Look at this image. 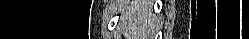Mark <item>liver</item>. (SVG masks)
<instances>
[{"instance_id": "liver-1", "label": "liver", "mask_w": 249, "mask_h": 39, "mask_svg": "<svg viewBox=\"0 0 249 39\" xmlns=\"http://www.w3.org/2000/svg\"><path fill=\"white\" fill-rule=\"evenodd\" d=\"M152 2L138 0L131 5H125L120 20L126 39H143L155 26L156 17L151 14Z\"/></svg>"}]
</instances>
